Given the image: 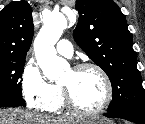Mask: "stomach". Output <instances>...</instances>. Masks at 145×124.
<instances>
[{"instance_id": "1", "label": "stomach", "mask_w": 145, "mask_h": 124, "mask_svg": "<svg viewBox=\"0 0 145 124\" xmlns=\"http://www.w3.org/2000/svg\"><path fill=\"white\" fill-rule=\"evenodd\" d=\"M107 121H104L103 119H97V118H83L80 119L78 124H113V123H106Z\"/></svg>"}]
</instances>
